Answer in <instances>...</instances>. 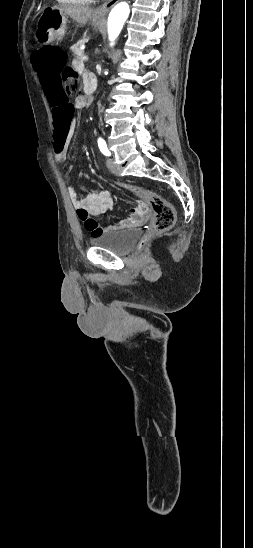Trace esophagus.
Segmentation results:
<instances>
[{
	"instance_id": "esophagus-1",
	"label": "esophagus",
	"mask_w": 253,
	"mask_h": 548,
	"mask_svg": "<svg viewBox=\"0 0 253 548\" xmlns=\"http://www.w3.org/2000/svg\"><path fill=\"white\" fill-rule=\"evenodd\" d=\"M120 0H108L102 6L95 10V16L98 18H103L115 6Z\"/></svg>"
}]
</instances>
